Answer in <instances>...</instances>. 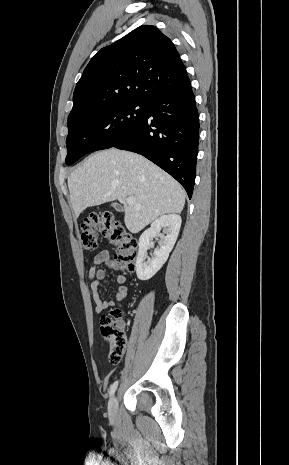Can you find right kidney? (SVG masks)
<instances>
[{
  "label": "right kidney",
  "instance_id": "right-kidney-1",
  "mask_svg": "<svg viewBox=\"0 0 289 465\" xmlns=\"http://www.w3.org/2000/svg\"><path fill=\"white\" fill-rule=\"evenodd\" d=\"M181 217L177 214L163 215L155 219L150 228L145 230L139 238V250L136 259V274L140 280H149L163 266L169 257V253L177 240ZM163 234H160V231ZM158 236L159 246L154 250L152 259L145 261L147 250L151 247V240Z\"/></svg>",
  "mask_w": 289,
  "mask_h": 465
}]
</instances>
